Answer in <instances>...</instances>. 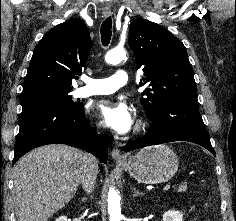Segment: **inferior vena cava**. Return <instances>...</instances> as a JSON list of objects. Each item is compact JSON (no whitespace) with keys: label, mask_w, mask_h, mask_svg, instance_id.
<instances>
[{"label":"inferior vena cava","mask_w":236,"mask_h":221,"mask_svg":"<svg viewBox=\"0 0 236 221\" xmlns=\"http://www.w3.org/2000/svg\"><path fill=\"white\" fill-rule=\"evenodd\" d=\"M98 174V160L97 158L89 153L83 155V170L81 183L83 189L90 193L94 189Z\"/></svg>","instance_id":"obj_1"}]
</instances>
